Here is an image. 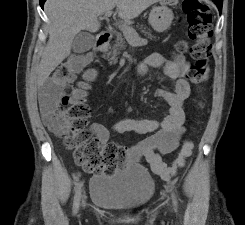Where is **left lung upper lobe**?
Returning a JSON list of instances; mask_svg holds the SVG:
<instances>
[{
  "mask_svg": "<svg viewBox=\"0 0 245 225\" xmlns=\"http://www.w3.org/2000/svg\"><path fill=\"white\" fill-rule=\"evenodd\" d=\"M216 4H222L223 0H213Z\"/></svg>",
  "mask_w": 245,
  "mask_h": 225,
  "instance_id": "left-lung-upper-lobe-1",
  "label": "left lung upper lobe"
}]
</instances>
